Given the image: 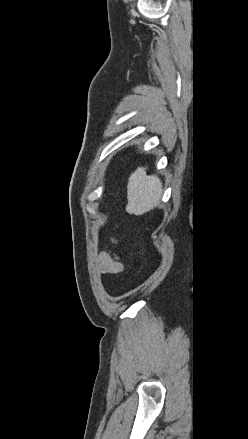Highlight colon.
I'll return each mask as SVG.
<instances>
[{
    "label": "colon",
    "instance_id": "obj_1",
    "mask_svg": "<svg viewBox=\"0 0 248 439\" xmlns=\"http://www.w3.org/2000/svg\"><path fill=\"white\" fill-rule=\"evenodd\" d=\"M139 258H140V250L138 249L136 251V260H139Z\"/></svg>",
    "mask_w": 248,
    "mask_h": 439
}]
</instances>
